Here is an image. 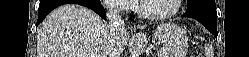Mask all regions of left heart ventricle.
Returning a JSON list of instances; mask_svg holds the SVG:
<instances>
[{
	"instance_id": "obj_1",
	"label": "left heart ventricle",
	"mask_w": 249,
	"mask_h": 57,
	"mask_svg": "<svg viewBox=\"0 0 249 57\" xmlns=\"http://www.w3.org/2000/svg\"><path fill=\"white\" fill-rule=\"evenodd\" d=\"M146 10L153 14H164L175 8V0H146Z\"/></svg>"
}]
</instances>
